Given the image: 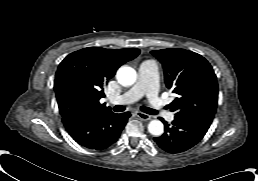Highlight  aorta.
<instances>
[{"mask_svg": "<svg viewBox=\"0 0 258 181\" xmlns=\"http://www.w3.org/2000/svg\"><path fill=\"white\" fill-rule=\"evenodd\" d=\"M116 78L122 86H131L137 80V73L135 69L129 66H122L118 69ZM148 131L153 136H160L163 134L164 125L159 120H152L148 124Z\"/></svg>", "mask_w": 258, "mask_h": 181, "instance_id": "obj_1", "label": "aorta"}]
</instances>
